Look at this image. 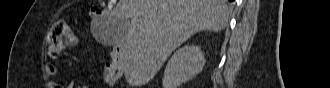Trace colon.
Here are the masks:
<instances>
[{"label":"colon","mask_w":330,"mask_h":88,"mask_svg":"<svg viewBox=\"0 0 330 88\" xmlns=\"http://www.w3.org/2000/svg\"><path fill=\"white\" fill-rule=\"evenodd\" d=\"M97 10L92 8L91 16L96 14ZM78 43L77 35L71 30L69 23L64 20H58L49 36V50L52 56H58L66 46L76 45ZM112 63L108 65L104 72L103 78L109 84H114L121 70L120 53L118 50L111 52Z\"/></svg>","instance_id":"obj_1"}]
</instances>
